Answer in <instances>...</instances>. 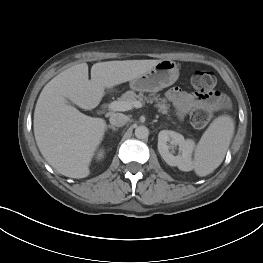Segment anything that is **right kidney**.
Instances as JSON below:
<instances>
[{
  "label": "right kidney",
  "mask_w": 263,
  "mask_h": 263,
  "mask_svg": "<svg viewBox=\"0 0 263 263\" xmlns=\"http://www.w3.org/2000/svg\"><path fill=\"white\" fill-rule=\"evenodd\" d=\"M103 157V151L98 153V159H101Z\"/></svg>",
  "instance_id": "1"
}]
</instances>
